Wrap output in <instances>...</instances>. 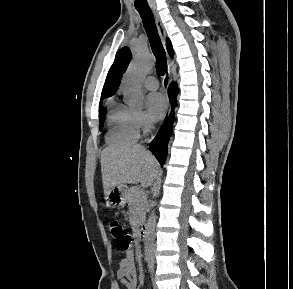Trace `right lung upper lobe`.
<instances>
[{"instance_id": "obj_1", "label": "right lung upper lobe", "mask_w": 293, "mask_h": 289, "mask_svg": "<svg viewBox=\"0 0 293 289\" xmlns=\"http://www.w3.org/2000/svg\"><path fill=\"white\" fill-rule=\"evenodd\" d=\"M166 42H167L166 45H167L168 53L170 57H173L174 51H173L171 42L168 38ZM130 59H131V52L127 47H123L117 53L114 63L112 64L108 72V75L102 90L101 99H103L105 96L109 97L115 94V92L117 91L120 85L122 75L130 62Z\"/></svg>"}]
</instances>
